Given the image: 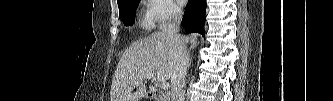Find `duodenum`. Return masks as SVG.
I'll use <instances>...</instances> for the list:
<instances>
[{
	"label": "duodenum",
	"mask_w": 333,
	"mask_h": 101,
	"mask_svg": "<svg viewBox=\"0 0 333 101\" xmlns=\"http://www.w3.org/2000/svg\"><path fill=\"white\" fill-rule=\"evenodd\" d=\"M149 99L154 100V101L158 100V98L155 94H150Z\"/></svg>",
	"instance_id": "duodenum-1"
}]
</instances>
